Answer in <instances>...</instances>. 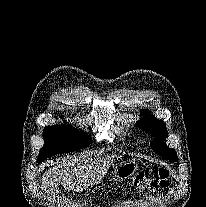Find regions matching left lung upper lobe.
Returning a JSON list of instances; mask_svg holds the SVG:
<instances>
[{
    "label": "left lung upper lobe",
    "mask_w": 206,
    "mask_h": 207,
    "mask_svg": "<svg viewBox=\"0 0 206 207\" xmlns=\"http://www.w3.org/2000/svg\"><path fill=\"white\" fill-rule=\"evenodd\" d=\"M142 115L144 118L138 121L137 126L155 136V140L151 143L152 149L160 156L172 162H176L178 160L176 152L173 149L168 148L164 143L167 136L166 125L162 120L151 117L149 111H142Z\"/></svg>",
    "instance_id": "obj_1"
}]
</instances>
